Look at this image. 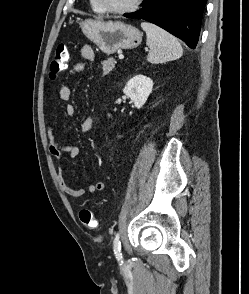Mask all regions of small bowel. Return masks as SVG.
I'll return each instance as SVG.
<instances>
[{
    "instance_id": "1",
    "label": "small bowel",
    "mask_w": 249,
    "mask_h": 294,
    "mask_svg": "<svg viewBox=\"0 0 249 294\" xmlns=\"http://www.w3.org/2000/svg\"><path fill=\"white\" fill-rule=\"evenodd\" d=\"M81 57L86 61L95 60V52L93 48L89 45H85L80 50ZM85 68L84 63H77L73 69H71L70 74L76 75L79 72H82ZM60 99L65 102V111L68 116H74L76 114V108L73 104L68 103L71 97V90L68 83H64L59 89ZM93 118H85L81 125L80 129L82 132H89L93 127ZM46 135L49 146V151L57 163V178L61 190L73 198L82 197L86 190L81 187H72L70 186L65 179V162L67 160L75 159L79 155V148L75 145L62 144L56 137L54 133V127L51 121L48 122L46 127ZM106 188V183L103 181L91 183L87 187V191L90 194H94L100 191H103Z\"/></svg>"
}]
</instances>
